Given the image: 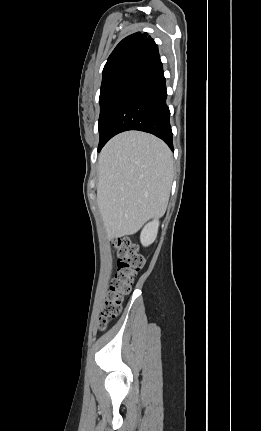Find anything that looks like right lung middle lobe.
Wrapping results in <instances>:
<instances>
[{"instance_id":"right-lung-middle-lobe-1","label":"right lung middle lobe","mask_w":261,"mask_h":431,"mask_svg":"<svg viewBox=\"0 0 261 431\" xmlns=\"http://www.w3.org/2000/svg\"><path fill=\"white\" fill-rule=\"evenodd\" d=\"M139 73L137 70L127 71L101 84L98 151L109 140V128L115 113Z\"/></svg>"}]
</instances>
